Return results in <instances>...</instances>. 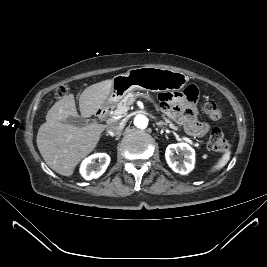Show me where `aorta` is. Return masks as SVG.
<instances>
[{
	"label": "aorta",
	"instance_id": "762f6f07",
	"mask_svg": "<svg viewBox=\"0 0 267 267\" xmlns=\"http://www.w3.org/2000/svg\"><path fill=\"white\" fill-rule=\"evenodd\" d=\"M149 123V119L144 114H137L133 119V124L138 129H145L147 128Z\"/></svg>",
	"mask_w": 267,
	"mask_h": 267
}]
</instances>
